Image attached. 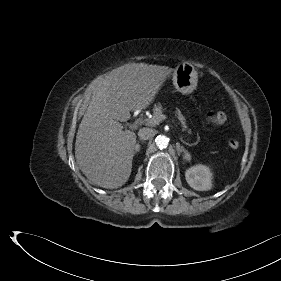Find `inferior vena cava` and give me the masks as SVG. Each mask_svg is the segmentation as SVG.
Segmentation results:
<instances>
[{
    "mask_svg": "<svg viewBox=\"0 0 281 281\" xmlns=\"http://www.w3.org/2000/svg\"><path fill=\"white\" fill-rule=\"evenodd\" d=\"M156 134L155 130L152 128H141L138 132V136L141 140H148L154 137Z\"/></svg>",
    "mask_w": 281,
    "mask_h": 281,
    "instance_id": "obj_1",
    "label": "inferior vena cava"
}]
</instances>
